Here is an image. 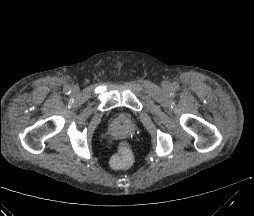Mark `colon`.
<instances>
[{
  "label": "colon",
  "mask_w": 254,
  "mask_h": 216,
  "mask_svg": "<svg viewBox=\"0 0 254 216\" xmlns=\"http://www.w3.org/2000/svg\"><path fill=\"white\" fill-rule=\"evenodd\" d=\"M132 160V150L129 141H119L117 144V153L110 160L111 167L122 170L129 167Z\"/></svg>",
  "instance_id": "colon-1"
}]
</instances>
